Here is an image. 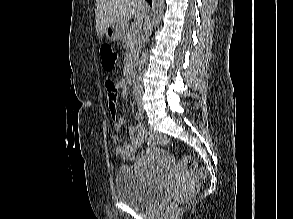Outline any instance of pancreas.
<instances>
[{"label":"pancreas","mask_w":293,"mask_h":219,"mask_svg":"<svg viewBox=\"0 0 293 219\" xmlns=\"http://www.w3.org/2000/svg\"><path fill=\"white\" fill-rule=\"evenodd\" d=\"M123 43L126 49L125 69L128 70L135 65L139 56L141 44L140 31L134 27L128 28L123 36Z\"/></svg>","instance_id":"cf45deb5"}]
</instances>
